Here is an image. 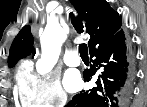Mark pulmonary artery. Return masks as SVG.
I'll use <instances>...</instances> for the list:
<instances>
[{
    "mask_svg": "<svg viewBox=\"0 0 147 107\" xmlns=\"http://www.w3.org/2000/svg\"><path fill=\"white\" fill-rule=\"evenodd\" d=\"M64 62L68 66L75 67L80 65V58L78 57L77 52L75 50H69L64 56Z\"/></svg>",
    "mask_w": 147,
    "mask_h": 107,
    "instance_id": "e3ab8cb5",
    "label": "pulmonary artery"
}]
</instances>
